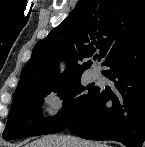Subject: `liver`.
Here are the masks:
<instances>
[{"mask_svg": "<svg viewBox=\"0 0 145 147\" xmlns=\"http://www.w3.org/2000/svg\"><path fill=\"white\" fill-rule=\"evenodd\" d=\"M26 147H108L100 142H89L73 136L46 135Z\"/></svg>", "mask_w": 145, "mask_h": 147, "instance_id": "1", "label": "liver"}]
</instances>
